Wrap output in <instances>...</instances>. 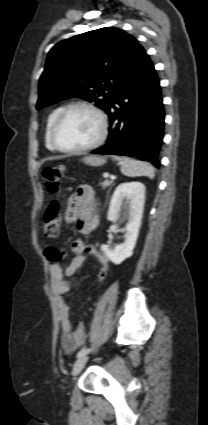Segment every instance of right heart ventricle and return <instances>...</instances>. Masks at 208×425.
<instances>
[{
	"label": "right heart ventricle",
	"instance_id": "obj_1",
	"mask_svg": "<svg viewBox=\"0 0 208 425\" xmlns=\"http://www.w3.org/2000/svg\"><path fill=\"white\" fill-rule=\"evenodd\" d=\"M61 107L55 108L48 116L47 121H46V125H45V131H44V139H45V144L46 147L49 150H55L54 147L51 144L50 141V130H51V126L52 123L55 119V117L57 116V114L59 113V111L61 110Z\"/></svg>",
	"mask_w": 208,
	"mask_h": 425
}]
</instances>
